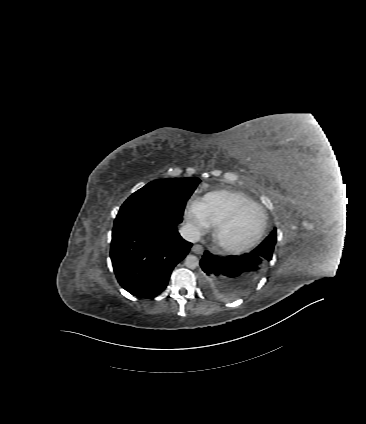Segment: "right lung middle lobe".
I'll return each instance as SVG.
<instances>
[{
    "label": "right lung middle lobe",
    "mask_w": 366,
    "mask_h": 424,
    "mask_svg": "<svg viewBox=\"0 0 366 424\" xmlns=\"http://www.w3.org/2000/svg\"><path fill=\"white\" fill-rule=\"evenodd\" d=\"M199 183L200 179L196 177L152 181L123 203L116 219L154 214L177 225L182 222L186 202Z\"/></svg>",
    "instance_id": "obj_1"
}]
</instances>
